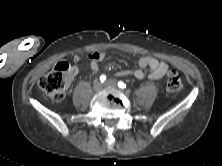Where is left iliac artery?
Wrapping results in <instances>:
<instances>
[{
	"label": "left iliac artery",
	"instance_id": "44dca946",
	"mask_svg": "<svg viewBox=\"0 0 222 166\" xmlns=\"http://www.w3.org/2000/svg\"><path fill=\"white\" fill-rule=\"evenodd\" d=\"M118 87L121 88V89H125L126 88V84L122 81H119L118 82Z\"/></svg>",
	"mask_w": 222,
	"mask_h": 166
}]
</instances>
